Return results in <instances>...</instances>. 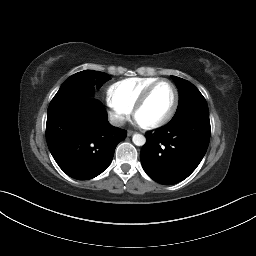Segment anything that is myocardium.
<instances>
[{"label":"myocardium","mask_w":256,"mask_h":256,"mask_svg":"<svg viewBox=\"0 0 256 256\" xmlns=\"http://www.w3.org/2000/svg\"><path fill=\"white\" fill-rule=\"evenodd\" d=\"M161 83H168L174 91V100L172 103V106L170 108V110L168 111V113L162 117L161 119L152 122V123H148V124H142L140 123V125L145 128V129H156L159 128L163 125H165L166 123H168L172 117L174 116L178 104H179V91L177 86L170 80L168 79H159L157 81H155L154 83L150 84L139 96V98L136 100L132 111H133V116L136 118V115L138 113V111L142 108V106L147 102L148 98L150 97L151 93L153 92V90Z\"/></svg>","instance_id":"myocardium-1"}]
</instances>
